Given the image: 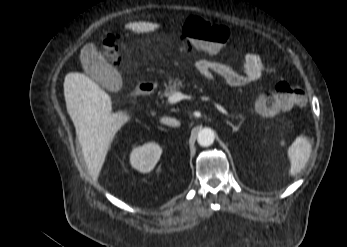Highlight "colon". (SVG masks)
Wrapping results in <instances>:
<instances>
[{
    "instance_id": "obj_1",
    "label": "colon",
    "mask_w": 347,
    "mask_h": 247,
    "mask_svg": "<svg viewBox=\"0 0 347 247\" xmlns=\"http://www.w3.org/2000/svg\"><path fill=\"white\" fill-rule=\"evenodd\" d=\"M183 35L197 49L217 54L231 40L230 30L220 24L191 17L184 24ZM103 54L111 62H120L118 39L109 35L103 42ZM304 91L293 83L280 82L274 89L266 90L256 101V111L262 116L273 117L278 112L290 111L303 105Z\"/></svg>"
}]
</instances>
